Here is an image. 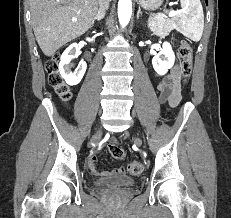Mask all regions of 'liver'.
Returning <instances> with one entry per match:
<instances>
[{
    "mask_svg": "<svg viewBox=\"0 0 231 218\" xmlns=\"http://www.w3.org/2000/svg\"><path fill=\"white\" fill-rule=\"evenodd\" d=\"M98 1L30 0L33 30L42 52L50 57L87 32L97 16Z\"/></svg>",
    "mask_w": 231,
    "mask_h": 218,
    "instance_id": "liver-1",
    "label": "liver"
}]
</instances>
